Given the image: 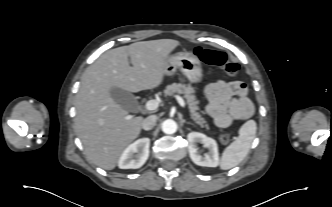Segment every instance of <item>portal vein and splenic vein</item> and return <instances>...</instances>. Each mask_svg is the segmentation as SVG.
<instances>
[{
    "label": "portal vein and splenic vein",
    "mask_w": 332,
    "mask_h": 207,
    "mask_svg": "<svg viewBox=\"0 0 332 207\" xmlns=\"http://www.w3.org/2000/svg\"><path fill=\"white\" fill-rule=\"evenodd\" d=\"M175 98L177 99V101L181 107H185V102L182 97H180L179 95H176ZM158 106H159V102L157 100H149L145 104V109L147 111H152V110L157 109Z\"/></svg>",
    "instance_id": "18ae733b"
}]
</instances>
